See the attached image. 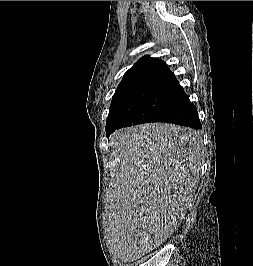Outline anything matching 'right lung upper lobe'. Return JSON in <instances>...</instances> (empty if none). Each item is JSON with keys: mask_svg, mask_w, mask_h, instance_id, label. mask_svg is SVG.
<instances>
[{"mask_svg": "<svg viewBox=\"0 0 253 266\" xmlns=\"http://www.w3.org/2000/svg\"><path fill=\"white\" fill-rule=\"evenodd\" d=\"M174 74L162 60L143 57L124 75L115 91L113 100L123 95L161 85L177 84Z\"/></svg>", "mask_w": 253, "mask_h": 266, "instance_id": "cb5924a9", "label": "right lung upper lobe"}]
</instances>
